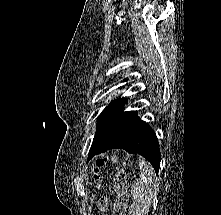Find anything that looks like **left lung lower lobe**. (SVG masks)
Listing matches in <instances>:
<instances>
[{
    "mask_svg": "<svg viewBox=\"0 0 221 215\" xmlns=\"http://www.w3.org/2000/svg\"><path fill=\"white\" fill-rule=\"evenodd\" d=\"M113 148L142 155L158 173L161 160L158 140L152 128L138 117L137 111L124 112L100 133L94 139L88 159Z\"/></svg>",
    "mask_w": 221,
    "mask_h": 215,
    "instance_id": "obj_1",
    "label": "left lung lower lobe"
}]
</instances>
